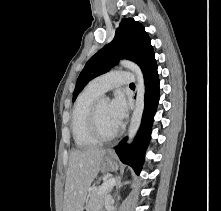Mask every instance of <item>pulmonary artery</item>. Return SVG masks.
I'll return each instance as SVG.
<instances>
[{
	"label": "pulmonary artery",
	"mask_w": 221,
	"mask_h": 211,
	"mask_svg": "<svg viewBox=\"0 0 221 211\" xmlns=\"http://www.w3.org/2000/svg\"><path fill=\"white\" fill-rule=\"evenodd\" d=\"M134 81V75L128 71L113 70L94 78L90 84L101 93Z\"/></svg>",
	"instance_id": "e3ab8cb5"
}]
</instances>
